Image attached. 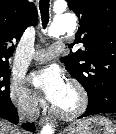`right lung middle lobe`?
I'll return each instance as SVG.
<instances>
[{"mask_svg":"<svg viewBox=\"0 0 116 134\" xmlns=\"http://www.w3.org/2000/svg\"><path fill=\"white\" fill-rule=\"evenodd\" d=\"M10 74L9 67L0 68V110L12 105L9 97Z\"/></svg>","mask_w":116,"mask_h":134,"instance_id":"dd1d6c3e","label":"right lung middle lobe"}]
</instances>
